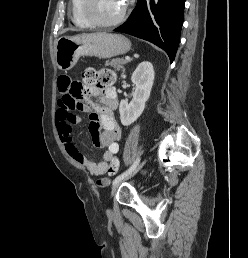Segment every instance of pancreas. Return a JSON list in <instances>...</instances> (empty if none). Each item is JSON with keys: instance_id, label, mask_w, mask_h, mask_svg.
I'll list each match as a JSON object with an SVG mask.
<instances>
[{"instance_id": "obj_1", "label": "pancreas", "mask_w": 248, "mask_h": 258, "mask_svg": "<svg viewBox=\"0 0 248 258\" xmlns=\"http://www.w3.org/2000/svg\"><path fill=\"white\" fill-rule=\"evenodd\" d=\"M127 62H128L127 60H124L122 58H116V59H113L111 61H106L105 65L106 66H111L115 70L119 71V70L124 69V65L127 64Z\"/></svg>"}]
</instances>
